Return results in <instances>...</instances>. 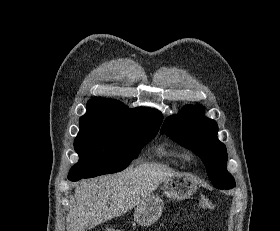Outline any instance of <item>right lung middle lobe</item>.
Masks as SVG:
<instances>
[{
    "mask_svg": "<svg viewBox=\"0 0 280 231\" xmlns=\"http://www.w3.org/2000/svg\"><path fill=\"white\" fill-rule=\"evenodd\" d=\"M158 131L159 128L111 118L80 120V131L74 140L79 161L69 176L90 178L125 169Z\"/></svg>",
    "mask_w": 280,
    "mask_h": 231,
    "instance_id": "obj_1",
    "label": "right lung middle lobe"
}]
</instances>
